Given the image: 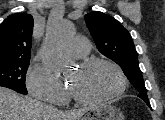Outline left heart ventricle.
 I'll list each match as a JSON object with an SVG mask.
<instances>
[{
    "label": "left heart ventricle",
    "mask_w": 165,
    "mask_h": 120,
    "mask_svg": "<svg viewBox=\"0 0 165 120\" xmlns=\"http://www.w3.org/2000/svg\"><path fill=\"white\" fill-rule=\"evenodd\" d=\"M70 86L85 98L98 99L115 92L119 78L110 66L99 64L86 70L79 68L72 76Z\"/></svg>",
    "instance_id": "left-heart-ventricle-1"
}]
</instances>
